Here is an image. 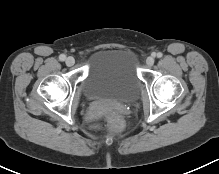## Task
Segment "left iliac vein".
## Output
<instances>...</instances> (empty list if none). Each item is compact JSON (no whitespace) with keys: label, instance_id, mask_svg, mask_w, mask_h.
Segmentation results:
<instances>
[{"label":"left iliac vein","instance_id":"4c4485c4","mask_svg":"<svg viewBox=\"0 0 219 174\" xmlns=\"http://www.w3.org/2000/svg\"><path fill=\"white\" fill-rule=\"evenodd\" d=\"M146 64L148 66H152L154 64V58L152 56H149L147 59H146Z\"/></svg>","mask_w":219,"mask_h":174}]
</instances>
